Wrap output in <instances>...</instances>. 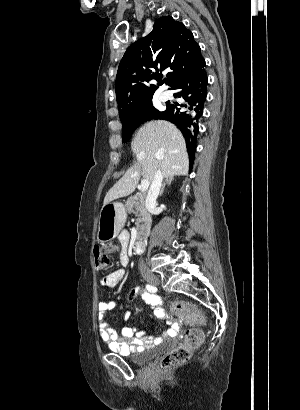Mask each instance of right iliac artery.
Segmentation results:
<instances>
[{
    "label": "right iliac artery",
    "mask_w": 300,
    "mask_h": 410,
    "mask_svg": "<svg viewBox=\"0 0 300 410\" xmlns=\"http://www.w3.org/2000/svg\"><path fill=\"white\" fill-rule=\"evenodd\" d=\"M146 289L151 293H156L157 292V288L155 286H152V285H149V284L146 285Z\"/></svg>",
    "instance_id": "obj_1"
}]
</instances>
